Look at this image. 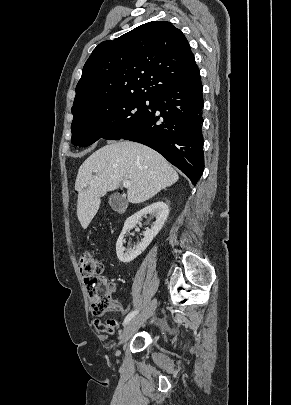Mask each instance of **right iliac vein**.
<instances>
[{"instance_id": "63e3f726", "label": "right iliac vein", "mask_w": 291, "mask_h": 405, "mask_svg": "<svg viewBox=\"0 0 291 405\" xmlns=\"http://www.w3.org/2000/svg\"><path fill=\"white\" fill-rule=\"evenodd\" d=\"M156 305L157 301L156 299H153L149 306L141 314L126 324L120 334L121 344L125 343L133 335V333L154 313Z\"/></svg>"}]
</instances>
